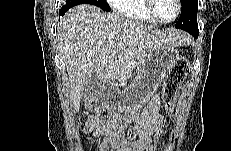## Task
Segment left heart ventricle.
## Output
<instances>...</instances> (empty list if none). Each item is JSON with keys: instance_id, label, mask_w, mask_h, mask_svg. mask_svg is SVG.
Segmentation results:
<instances>
[{"instance_id": "1", "label": "left heart ventricle", "mask_w": 231, "mask_h": 151, "mask_svg": "<svg viewBox=\"0 0 231 151\" xmlns=\"http://www.w3.org/2000/svg\"><path fill=\"white\" fill-rule=\"evenodd\" d=\"M155 12L162 19H171L176 13L175 0H155Z\"/></svg>"}]
</instances>
